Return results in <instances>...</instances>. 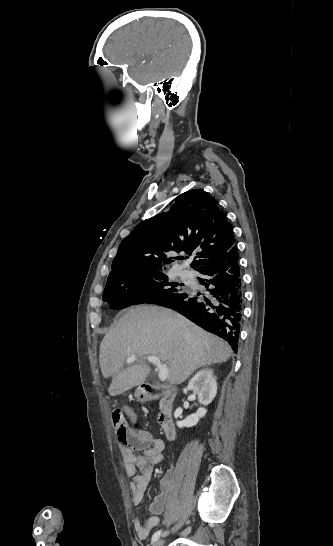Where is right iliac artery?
Instances as JSON below:
<instances>
[{
    "label": "right iliac artery",
    "instance_id": "1",
    "mask_svg": "<svg viewBox=\"0 0 333 546\" xmlns=\"http://www.w3.org/2000/svg\"><path fill=\"white\" fill-rule=\"evenodd\" d=\"M161 533H162V530H159V531H157V532H155V533L153 534L152 539H151V540H152V543L155 542V541H157V540L159 539V537L161 536Z\"/></svg>",
    "mask_w": 333,
    "mask_h": 546
}]
</instances>
